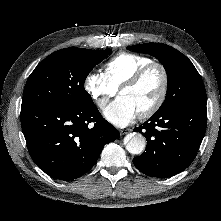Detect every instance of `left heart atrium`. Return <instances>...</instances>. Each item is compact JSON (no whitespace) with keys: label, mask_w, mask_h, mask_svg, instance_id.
I'll use <instances>...</instances> for the list:
<instances>
[{"label":"left heart atrium","mask_w":221,"mask_h":221,"mask_svg":"<svg viewBox=\"0 0 221 221\" xmlns=\"http://www.w3.org/2000/svg\"><path fill=\"white\" fill-rule=\"evenodd\" d=\"M137 114L138 112L130 100L121 95L104 110L105 118L119 127L131 123Z\"/></svg>","instance_id":"left-heart-atrium-1"}]
</instances>
